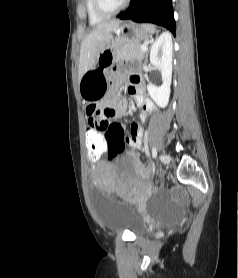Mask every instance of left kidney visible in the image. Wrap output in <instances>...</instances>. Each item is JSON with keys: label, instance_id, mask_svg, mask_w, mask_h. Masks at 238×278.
I'll use <instances>...</instances> for the list:
<instances>
[{"label": "left kidney", "instance_id": "1", "mask_svg": "<svg viewBox=\"0 0 238 278\" xmlns=\"http://www.w3.org/2000/svg\"><path fill=\"white\" fill-rule=\"evenodd\" d=\"M173 42L168 33H163L153 43L150 50V62L161 70L162 85L157 87L151 83L147 85L150 97L159 107H166L170 97L172 80Z\"/></svg>", "mask_w": 238, "mask_h": 278}]
</instances>
